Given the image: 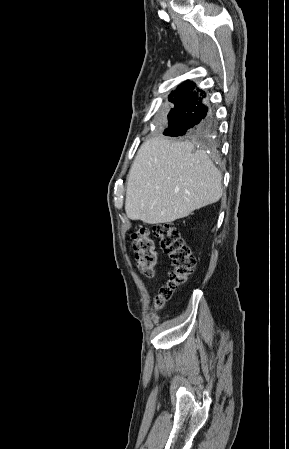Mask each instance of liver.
<instances>
[{
  "instance_id": "obj_1",
  "label": "liver",
  "mask_w": 289,
  "mask_h": 449,
  "mask_svg": "<svg viewBox=\"0 0 289 449\" xmlns=\"http://www.w3.org/2000/svg\"><path fill=\"white\" fill-rule=\"evenodd\" d=\"M222 175L189 141L146 140L127 178L125 211L148 224L173 222L222 196Z\"/></svg>"
}]
</instances>
